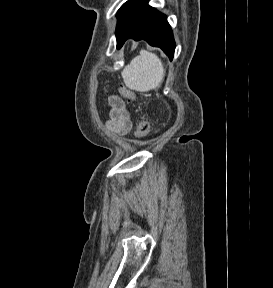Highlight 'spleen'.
Segmentation results:
<instances>
[{
	"label": "spleen",
	"instance_id": "spleen-1",
	"mask_svg": "<svg viewBox=\"0 0 273 288\" xmlns=\"http://www.w3.org/2000/svg\"><path fill=\"white\" fill-rule=\"evenodd\" d=\"M165 76V69L159 57L146 50L132 59L122 71L125 85L135 91L147 92L160 87Z\"/></svg>",
	"mask_w": 273,
	"mask_h": 288
}]
</instances>
